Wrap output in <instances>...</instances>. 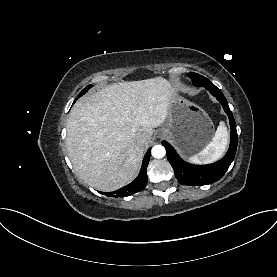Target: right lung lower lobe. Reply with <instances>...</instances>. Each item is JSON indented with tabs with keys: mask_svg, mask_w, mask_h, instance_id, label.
Listing matches in <instances>:
<instances>
[{
	"mask_svg": "<svg viewBox=\"0 0 277 277\" xmlns=\"http://www.w3.org/2000/svg\"><path fill=\"white\" fill-rule=\"evenodd\" d=\"M150 151H151V149H148V151L143 159L140 173L132 183H130V184L126 185L125 187L118 189L116 191L107 192V193L102 192V194L109 196V197H125V196H130L134 193L142 191L145 188L147 181H148L146 169H147L148 162L150 159Z\"/></svg>",
	"mask_w": 277,
	"mask_h": 277,
	"instance_id": "1",
	"label": "right lung lower lobe"
}]
</instances>
